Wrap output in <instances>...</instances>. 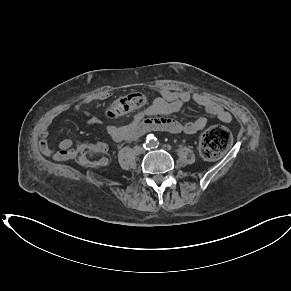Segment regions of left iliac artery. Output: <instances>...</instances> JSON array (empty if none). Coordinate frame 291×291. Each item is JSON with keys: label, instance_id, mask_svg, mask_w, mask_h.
Listing matches in <instances>:
<instances>
[{"label": "left iliac artery", "instance_id": "obj_1", "mask_svg": "<svg viewBox=\"0 0 291 291\" xmlns=\"http://www.w3.org/2000/svg\"><path fill=\"white\" fill-rule=\"evenodd\" d=\"M152 148H156L159 145V142L156 138H152L151 141Z\"/></svg>", "mask_w": 291, "mask_h": 291}]
</instances>
